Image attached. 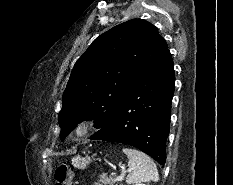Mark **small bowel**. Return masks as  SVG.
Wrapping results in <instances>:
<instances>
[{
	"mask_svg": "<svg viewBox=\"0 0 233 185\" xmlns=\"http://www.w3.org/2000/svg\"><path fill=\"white\" fill-rule=\"evenodd\" d=\"M92 185H103V184L98 183V182H95V183H93Z\"/></svg>",
	"mask_w": 233,
	"mask_h": 185,
	"instance_id": "1",
	"label": "small bowel"
}]
</instances>
